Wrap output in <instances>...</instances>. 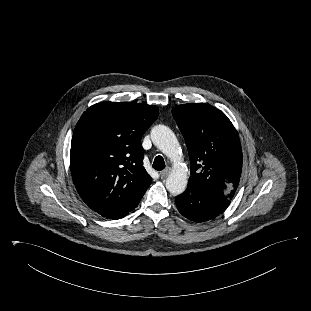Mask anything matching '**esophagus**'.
Returning a JSON list of instances; mask_svg holds the SVG:
<instances>
[{"mask_svg":"<svg viewBox=\"0 0 311 311\" xmlns=\"http://www.w3.org/2000/svg\"><path fill=\"white\" fill-rule=\"evenodd\" d=\"M170 174V169L166 168L165 170L160 172V177L161 178H166Z\"/></svg>","mask_w":311,"mask_h":311,"instance_id":"obj_1","label":"esophagus"}]
</instances>
